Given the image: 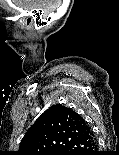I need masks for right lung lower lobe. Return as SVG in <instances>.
Here are the masks:
<instances>
[{
	"label": "right lung lower lobe",
	"mask_w": 119,
	"mask_h": 155,
	"mask_svg": "<svg viewBox=\"0 0 119 155\" xmlns=\"http://www.w3.org/2000/svg\"><path fill=\"white\" fill-rule=\"evenodd\" d=\"M97 144L90 128L69 143L59 155H97Z\"/></svg>",
	"instance_id": "98d812e1"
}]
</instances>
